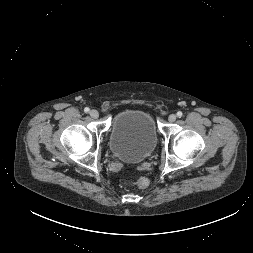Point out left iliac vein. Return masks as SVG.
Masks as SVG:
<instances>
[{
    "instance_id": "1",
    "label": "left iliac vein",
    "mask_w": 253,
    "mask_h": 253,
    "mask_svg": "<svg viewBox=\"0 0 253 253\" xmlns=\"http://www.w3.org/2000/svg\"><path fill=\"white\" fill-rule=\"evenodd\" d=\"M176 118H177V116L175 114H171V115H169L168 120L170 123H173V122H175Z\"/></svg>"
}]
</instances>
